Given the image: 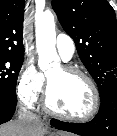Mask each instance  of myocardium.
Masks as SVG:
<instances>
[{
	"mask_svg": "<svg viewBox=\"0 0 117 136\" xmlns=\"http://www.w3.org/2000/svg\"><path fill=\"white\" fill-rule=\"evenodd\" d=\"M62 69L66 74L80 76L87 82V84L90 87V90L92 92V95H93L92 107H91L90 111L83 116H69V115H66V114L54 109L50 103V83H49V81H47V87H46V92H45V109L50 114H52L56 117H59L63 120L70 121V122H87V121L93 119L97 115V113L100 109V102H101L99 89H98L96 83L94 82L92 77L87 72H85L84 70H82L81 68H79L77 66L64 65V66H62Z\"/></svg>",
	"mask_w": 117,
	"mask_h": 136,
	"instance_id": "1",
	"label": "myocardium"
}]
</instances>
